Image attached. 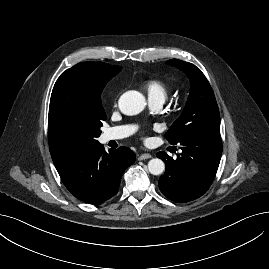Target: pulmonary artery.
<instances>
[{
  "label": "pulmonary artery",
  "mask_w": 269,
  "mask_h": 269,
  "mask_svg": "<svg viewBox=\"0 0 269 269\" xmlns=\"http://www.w3.org/2000/svg\"><path fill=\"white\" fill-rule=\"evenodd\" d=\"M164 103L163 99H150V104L154 109H160ZM133 127L131 126H117L107 129L102 136L103 142L111 140H119L132 134Z\"/></svg>",
  "instance_id": "obj_1"
}]
</instances>
